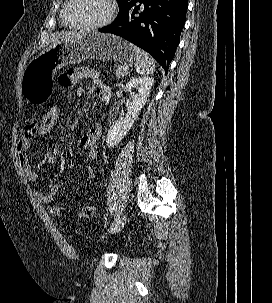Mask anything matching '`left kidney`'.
I'll use <instances>...</instances> for the list:
<instances>
[{"mask_svg": "<svg viewBox=\"0 0 272 303\" xmlns=\"http://www.w3.org/2000/svg\"><path fill=\"white\" fill-rule=\"evenodd\" d=\"M154 79L150 77H133L126 83V90L130 93L131 102L127 105V113L121 116L107 132L106 144L117 145L128 133L144 107ZM136 89L137 93L132 92Z\"/></svg>", "mask_w": 272, "mask_h": 303, "instance_id": "1", "label": "left kidney"}]
</instances>
